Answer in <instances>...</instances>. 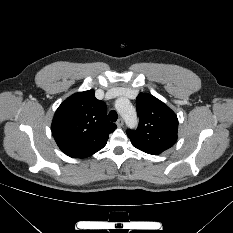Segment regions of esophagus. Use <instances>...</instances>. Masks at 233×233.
<instances>
[{
  "mask_svg": "<svg viewBox=\"0 0 233 233\" xmlns=\"http://www.w3.org/2000/svg\"><path fill=\"white\" fill-rule=\"evenodd\" d=\"M116 125H117L119 128L122 127V126L124 125L123 119H122V118H119V119L117 120V122H116Z\"/></svg>",
  "mask_w": 233,
  "mask_h": 233,
  "instance_id": "34e87169",
  "label": "esophagus"
}]
</instances>
